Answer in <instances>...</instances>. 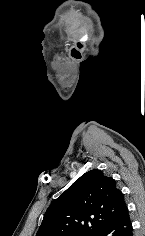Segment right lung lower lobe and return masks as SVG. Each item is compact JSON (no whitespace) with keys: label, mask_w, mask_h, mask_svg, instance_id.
Listing matches in <instances>:
<instances>
[{"label":"right lung lower lobe","mask_w":145,"mask_h":236,"mask_svg":"<svg viewBox=\"0 0 145 236\" xmlns=\"http://www.w3.org/2000/svg\"><path fill=\"white\" fill-rule=\"evenodd\" d=\"M128 209L125 208L113 220L101 228L94 236H133Z\"/></svg>","instance_id":"obj_1"}]
</instances>
